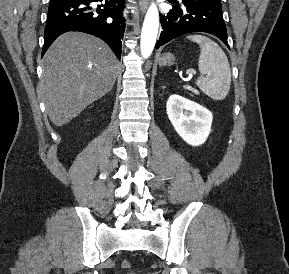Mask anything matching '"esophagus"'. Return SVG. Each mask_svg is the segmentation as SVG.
<instances>
[{"instance_id":"34e87169","label":"esophagus","mask_w":289,"mask_h":274,"mask_svg":"<svg viewBox=\"0 0 289 274\" xmlns=\"http://www.w3.org/2000/svg\"><path fill=\"white\" fill-rule=\"evenodd\" d=\"M148 6V0H139V7L141 11H145Z\"/></svg>"}]
</instances>
